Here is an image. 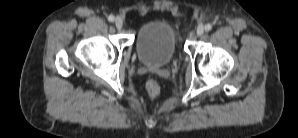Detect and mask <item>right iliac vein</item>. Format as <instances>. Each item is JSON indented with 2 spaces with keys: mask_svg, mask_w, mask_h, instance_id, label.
<instances>
[{
  "mask_svg": "<svg viewBox=\"0 0 298 138\" xmlns=\"http://www.w3.org/2000/svg\"><path fill=\"white\" fill-rule=\"evenodd\" d=\"M115 26L117 29H121L123 27V20L120 17L115 19Z\"/></svg>",
  "mask_w": 298,
  "mask_h": 138,
  "instance_id": "obj_1",
  "label": "right iliac vein"
}]
</instances>
